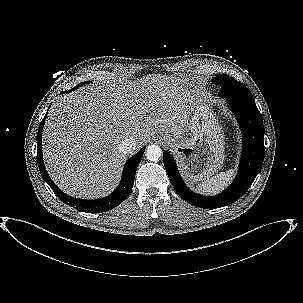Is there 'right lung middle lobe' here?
I'll list each match as a JSON object with an SVG mask.
<instances>
[{
	"label": "right lung middle lobe",
	"instance_id": "right-lung-middle-lobe-1",
	"mask_svg": "<svg viewBox=\"0 0 303 303\" xmlns=\"http://www.w3.org/2000/svg\"><path fill=\"white\" fill-rule=\"evenodd\" d=\"M87 83H89V81L82 82V83L76 85V86H75L73 89H71L70 91H73V90H75V89L79 88L80 86H82V85H84V84H87Z\"/></svg>",
	"mask_w": 303,
	"mask_h": 303
}]
</instances>
